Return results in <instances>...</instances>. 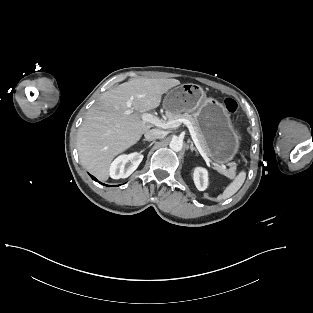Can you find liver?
Instances as JSON below:
<instances>
[{"mask_svg": "<svg viewBox=\"0 0 313 313\" xmlns=\"http://www.w3.org/2000/svg\"><path fill=\"white\" fill-rule=\"evenodd\" d=\"M179 84L176 79L139 78L103 93L78 130L81 164L106 181L112 160L153 127L142 120V114L157 108L162 95Z\"/></svg>", "mask_w": 313, "mask_h": 313, "instance_id": "obj_1", "label": "liver"}]
</instances>
